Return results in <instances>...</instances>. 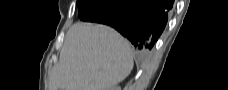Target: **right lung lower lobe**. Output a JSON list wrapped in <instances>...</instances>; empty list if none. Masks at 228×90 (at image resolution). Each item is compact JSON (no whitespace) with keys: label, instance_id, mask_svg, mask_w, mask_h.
Wrapping results in <instances>:
<instances>
[{"label":"right lung lower lobe","instance_id":"obj_1","mask_svg":"<svg viewBox=\"0 0 228 90\" xmlns=\"http://www.w3.org/2000/svg\"><path fill=\"white\" fill-rule=\"evenodd\" d=\"M173 0H100L98 6H87L83 21L106 24L126 37L146 57L162 31Z\"/></svg>","mask_w":228,"mask_h":90}]
</instances>
